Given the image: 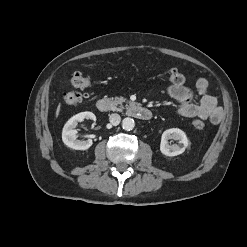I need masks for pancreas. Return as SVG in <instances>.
Returning a JSON list of instances; mask_svg holds the SVG:
<instances>
[{"label":"pancreas","mask_w":247,"mask_h":247,"mask_svg":"<svg viewBox=\"0 0 247 247\" xmlns=\"http://www.w3.org/2000/svg\"><path fill=\"white\" fill-rule=\"evenodd\" d=\"M111 102L114 106V110L122 111L123 103L126 102V99L124 97H115V98H111Z\"/></svg>","instance_id":"obj_1"}]
</instances>
